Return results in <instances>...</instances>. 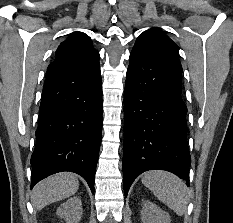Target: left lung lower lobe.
Wrapping results in <instances>:
<instances>
[{"instance_id": "0a47b994", "label": "left lung lower lobe", "mask_w": 233, "mask_h": 223, "mask_svg": "<svg viewBox=\"0 0 233 223\" xmlns=\"http://www.w3.org/2000/svg\"><path fill=\"white\" fill-rule=\"evenodd\" d=\"M182 67L136 42L124 91V193L148 170H166L189 186L187 107L181 97Z\"/></svg>"}]
</instances>
